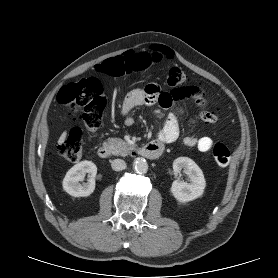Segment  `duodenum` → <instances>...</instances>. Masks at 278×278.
Instances as JSON below:
<instances>
[{"label": "duodenum", "mask_w": 278, "mask_h": 278, "mask_svg": "<svg viewBox=\"0 0 278 278\" xmlns=\"http://www.w3.org/2000/svg\"><path fill=\"white\" fill-rule=\"evenodd\" d=\"M163 153V145L159 142H148L133 150V154L142 155L147 159H158ZM97 154L101 158H109L112 155V150L108 145H102L98 148Z\"/></svg>", "instance_id": "duodenum-1"}]
</instances>
